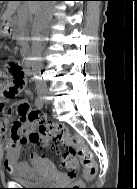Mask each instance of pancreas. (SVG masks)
I'll list each match as a JSON object with an SVG mask.
<instances>
[{
	"mask_svg": "<svg viewBox=\"0 0 137 189\" xmlns=\"http://www.w3.org/2000/svg\"><path fill=\"white\" fill-rule=\"evenodd\" d=\"M26 24H27L26 20L21 19L18 22L17 29H16L17 35L15 38L22 46H24L28 40V31L26 28Z\"/></svg>",
	"mask_w": 137,
	"mask_h": 189,
	"instance_id": "cf45deb5",
	"label": "pancreas"
}]
</instances>
